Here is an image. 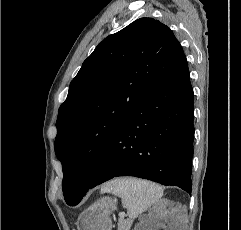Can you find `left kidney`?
I'll list each match as a JSON object with an SVG mask.
<instances>
[{"label":"left kidney","instance_id":"left-kidney-1","mask_svg":"<svg viewBox=\"0 0 241 230\" xmlns=\"http://www.w3.org/2000/svg\"><path fill=\"white\" fill-rule=\"evenodd\" d=\"M154 228H155V226H153V225H144V226H142L140 229H138V230H154Z\"/></svg>","mask_w":241,"mask_h":230}]
</instances>
